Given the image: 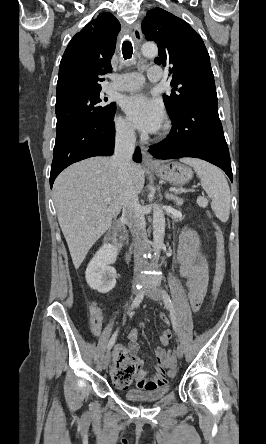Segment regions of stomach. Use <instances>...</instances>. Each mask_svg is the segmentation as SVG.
<instances>
[{"label": "stomach", "instance_id": "0dacf381", "mask_svg": "<svg viewBox=\"0 0 266 444\" xmlns=\"http://www.w3.org/2000/svg\"><path fill=\"white\" fill-rule=\"evenodd\" d=\"M151 172L160 179L178 186L186 184L193 176V172L188 166L175 161L151 169Z\"/></svg>", "mask_w": 266, "mask_h": 444}]
</instances>
